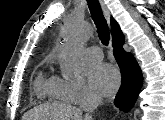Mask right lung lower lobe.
Wrapping results in <instances>:
<instances>
[{"instance_id":"right-lung-lower-lobe-1","label":"right lung lower lobe","mask_w":165,"mask_h":120,"mask_svg":"<svg viewBox=\"0 0 165 120\" xmlns=\"http://www.w3.org/2000/svg\"><path fill=\"white\" fill-rule=\"evenodd\" d=\"M124 38L112 42L114 56L122 73V84L114 99L116 107L128 112L135 104L142 87L141 69L131 53L123 49Z\"/></svg>"}]
</instances>
